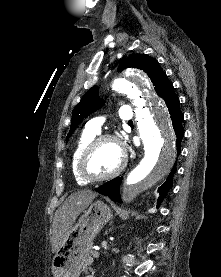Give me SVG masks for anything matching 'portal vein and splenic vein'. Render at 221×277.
Listing matches in <instances>:
<instances>
[{"label":"portal vein and splenic vein","mask_w":221,"mask_h":277,"mask_svg":"<svg viewBox=\"0 0 221 277\" xmlns=\"http://www.w3.org/2000/svg\"><path fill=\"white\" fill-rule=\"evenodd\" d=\"M98 255H99V253L97 251H95V256H98Z\"/></svg>","instance_id":"18ae733b"}]
</instances>
